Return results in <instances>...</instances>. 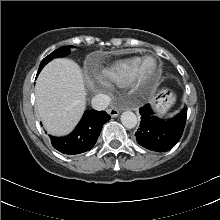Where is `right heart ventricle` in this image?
Masks as SVG:
<instances>
[{"mask_svg": "<svg viewBox=\"0 0 220 220\" xmlns=\"http://www.w3.org/2000/svg\"><path fill=\"white\" fill-rule=\"evenodd\" d=\"M138 62V57L112 62L98 71V78L107 84L123 86L131 79Z\"/></svg>", "mask_w": 220, "mask_h": 220, "instance_id": "1", "label": "right heart ventricle"}]
</instances>
